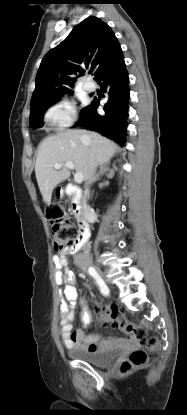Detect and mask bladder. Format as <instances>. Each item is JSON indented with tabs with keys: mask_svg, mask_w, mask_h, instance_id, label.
<instances>
[{
	"mask_svg": "<svg viewBox=\"0 0 187 415\" xmlns=\"http://www.w3.org/2000/svg\"><path fill=\"white\" fill-rule=\"evenodd\" d=\"M122 352L121 347L107 350L88 351L81 348H71L68 354L77 360L90 363L94 366L105 367L110 365Z\"/></svg>",
	"mask_w": 187,
	"mask_h": 415,
	"instance_id": "1",
	"label": "bladder"
}]
</instances>
